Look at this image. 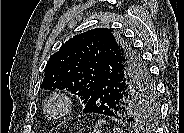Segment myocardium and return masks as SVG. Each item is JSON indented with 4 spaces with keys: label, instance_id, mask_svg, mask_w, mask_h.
<instances>
[{
    "label": "myocardium",
    "instance_id": "myocardium-1",
    "mask_svg": "<svg viewBox=\"0 0 184 133\" xmlns=\"http://www.w3.org/2000/svg\"><path fill=\"white\" fill-rule=\"evenodd\" d=\"M73 100L66 92H54L45 102L44 110L46 115L54 120L61 119L73 110Z\"/></svg>",
    "mask_w": 184,
    "mask_h": 133
}]
</instances>
